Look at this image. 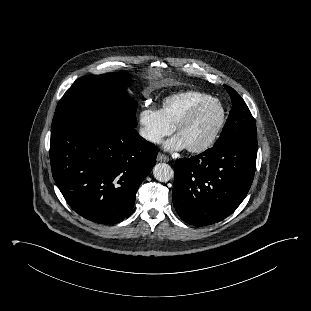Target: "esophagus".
<instances>
[{"label": "esophagus", "mask_w": 311, "mask_h": 311, "mask_svg": "<svg viewBox=\"0 0 311 311\" xmlns=\"http://www.w3.org/2000/svg\"><path fill=\"white\" fill-rule=\"evenodd\" d=\"M157 161H159V162H168L169 161V157L164 155L163 153H158Z\"/></svg>", "instance_id": "34e87169"}]
</instances>
